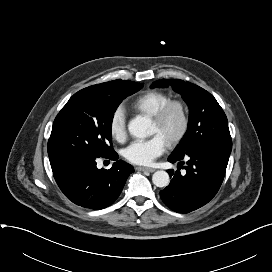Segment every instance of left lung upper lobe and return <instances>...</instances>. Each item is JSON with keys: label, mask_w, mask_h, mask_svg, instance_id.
I'll list each match as a JSON object with an SVG mask.
<instances>
[{"label": "left lung upper lobe", "mask_w": 272, "mask_h": 272, "mask_svg": "<svg viewBox=\"0 0 272 272\" xmlns=\"http://www.w3.org/2000/svg\"><path fill=\"white\" fill-rule=\"evenodd\" d=\"M168 86L180 93L189 107L187 132L172 155H183L209 143L231 142L227 117L209 92L180 79L157 80L151 88Z\"/></svg>", "instance_id": "1"}]
</instances>
